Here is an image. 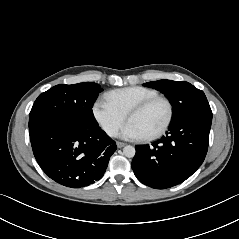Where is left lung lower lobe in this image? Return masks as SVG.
<instances>
[{
    "label": "left lung lower lobe",
    "instance_id": "1",
    "mask_svg": "<svg viewBox=\"0 0 239 239\" xmlns=\"http://www.w3.org/2000/svg\"><path fill=\"white\" fill-rule=\"evenodd\" d=\"M212 112L193 113L171 122L160 140L136 146L132 169L137 179L165 189L189 178L203 163L209 143Z\"/></svg>",
    "mask_w": 239,
    "mask_h": 239
}]
</instances>
